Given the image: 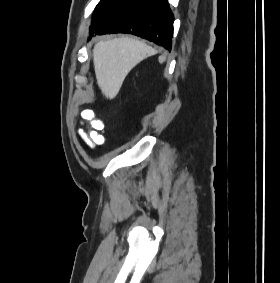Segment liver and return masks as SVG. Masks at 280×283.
I'll use <instances>...</instances> for the list:
<instances>
[{"label":"liver","instance_id":"obj_1","mask_svg":"<svg viewBox=\"0 0 280 283\" xmlns=\"http://www.w3.org/2000/svg\"><path fill=\"white\" fill-rule=\"evenodd\" d=\"M155 50L131 37H119L96 43L93 63L97 84L103 95L113 99L129 73L143 59L154 55Z\"/></svg>","mask_w":280,"mask_h":283}]
</instances>
